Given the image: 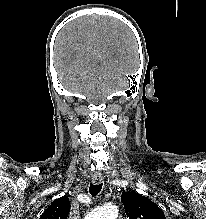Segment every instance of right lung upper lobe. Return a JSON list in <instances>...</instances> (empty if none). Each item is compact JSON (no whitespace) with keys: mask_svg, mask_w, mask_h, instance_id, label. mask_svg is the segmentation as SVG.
I'll list each match as a JSON object with an SVG mask.
<instances>
[{"mask_svg":"<svg viewBox=\"0 0 206 219\" xmlns=\"http://www.w3.org/2000/svg\"><path fill=\"white\" fill-rule=\"evenodd\" d=\"M70 212L68 197L55 199L39 219H67Z\"/></svg>","mask_w":206,"mask_h":219,"instance_id":"obj_1","label":"right lung upper lobe"}]
</instances>
